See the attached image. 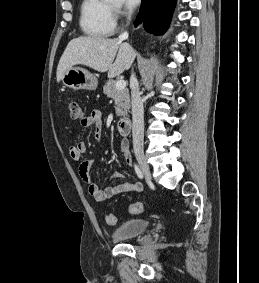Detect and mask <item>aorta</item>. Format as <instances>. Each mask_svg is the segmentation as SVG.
Wrapping results in <instances>:
<instances>
[{
    "instance_id": "1",
    "label": "aorta",
    "mask_w": 259,
    "mask_h": 283,
    "mask_svg": "<svg viewBox=\"0 0 259 283\" xmlns=\"http://www.w3.org/2000/svg\"><path fill=\"white\" fill-rule=\"evenodd\" d=\"M107 2H120V1H123V0H105Z\"/></svg>"
}]
</instances>
